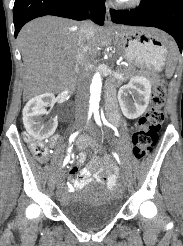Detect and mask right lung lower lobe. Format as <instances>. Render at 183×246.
<instances>
[{
  "instance_id": "98d812e1",
  "label": "right lung lower lobe",
  "mask_w": 183,
  "mask_h": 246,
  "mask_svg": "<svg viewBox=\"0 0 183 246\" xmlns=\"http://www.w3.org/2000/svg\"><path fill=\"white\" fill-rule=\"evenodd\" d=\"M88 10H92L90 18L95 23L104 24L105 5L101 0H15L14 35L17 37L22 26L34 18L54 15L81 21L88 18Z\"/></svg>"
}]
</instances>
